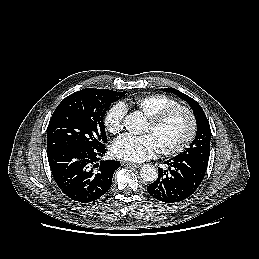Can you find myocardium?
<instances>
[{
  "label": "myocardium",
  "mask_w": 259,
  "mask_h": 259,
  "mask_svg": "<svg viewBox=\"0 0 259 259\" xmlns=\"http://www.w3.org/2000/svg\"><path fill=\"white\" fill-rule=\"evenodd\" d=\"M183 112L186 114L189 120V131L185 138L176 146L168 148V149H158L159 153L164 156H176L182 153L185 149L189 147V145L194 140L197 133V119L194 112L183 105H176L169 108H166L155 115L149 117L148 123L152 128H156L160 126L163 122H165L169 117L174 115L175 113Z\"/></svg>",
  "instance_id": "1"
}]
</instances>
